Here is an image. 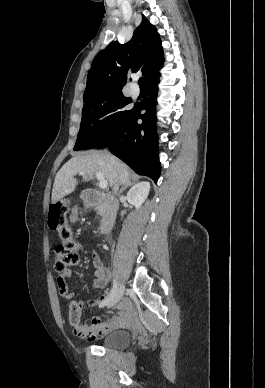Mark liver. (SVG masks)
<instances>
[{
	"mask_svg": "<svg viewBox=\"0 0 265 388\" xmlns=\"http://www.w3.org/2000/svg\"><path fill=\"white\" fill-rule=\"evenodd\" d=\"M84 172V182L93 180L94 174L101 172L110 186H115L116 182H120L123 186L129 184L130 172L128 166L123 164L118 158H114L104 152H90L88 156H74L69 162H66L55 176L52 190V204L72 194L78 182L74 176Z\"/></svg>",
	"mask_w": 265,
	"mask_h": 388,
	"instance_id": "1",
	"label": "liver"
}]
</instances>
